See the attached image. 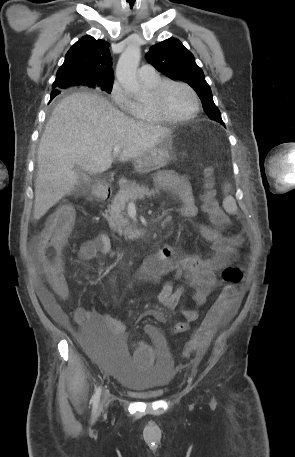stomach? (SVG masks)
<instances>
[{
	"mask_svg": "<svg viewBox=\"0 0 295 457\" xmlns=\"http://www.w3.org/2000/svg\"><path fill=\"white\" fill-rule=\"evenodd\" d=\"M174 157L173 141L170 136L146 154L134 159V167L139 173H147L165 166Z\"/></svg>",
	"mask_w": 295,
	"mask_h": 457,
	"instance_id": "obj_1",
	"label": "stomach"
}]
</instances>
